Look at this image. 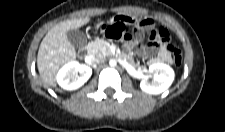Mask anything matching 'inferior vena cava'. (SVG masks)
<instances>
[{
  "mask_svg": "<svg viewBox=\"0 0 225 132\" xmlns=\"http://www.w3.org/2000/svg\"><path fill=\"white\" fill-rule=\"evenodd\" d=\"M105 61V57L102 56V55H94L93 56V59H92V62L94 64H101Z\"/></svg>",
  "mask_w": 225,
  "mask_h": 132,
  "instance_id": "602c4592",
  "label": "inferior vena cava"
}]
</instances>
